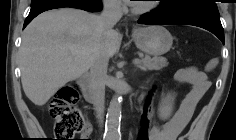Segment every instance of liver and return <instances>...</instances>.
<instances>
[{
  "instance_id": "obj_1",
  "label": "liver",
  "mask_w": 236,
  "mask_h": 140,
  "mask_svg": "<svg viewBox=\"0 0 236 140\" xmlns=\"http://www.w3.org/2000/svg\"><path fill=\"white\" fill-rule=\"evenodd\" d=\"M121 40L117 31L103 30L98 15L80 9L40 14L25 28L19 49L26 96L45 105L66 83L88 72L98 56L112 57Z\"/></svg>"
}]
</instances>
